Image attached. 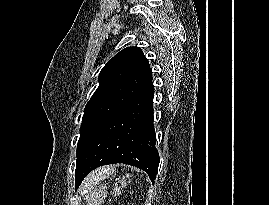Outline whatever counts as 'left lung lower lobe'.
Returning a JSON list of instances; mask_svg holds the SVG:
<instances>
[{
  "instance_id": "obj_1",
  "label": "left lung lower lobe",
  "mask_w": 269,
  "mask_h": 205,
  "mask_svg": "<svg viewBox=\"0 0 269 205\" xmlns=\"http://www.w3.org/2000/svg\"><path fill=\"white\" fill-rule=\"evenodd\" d=\"M152 83L91 138L76 164L75 189L95 168L124 163L144 170L152 183L160 162L155 147Z\"/></svg>"
}]
</instances>
